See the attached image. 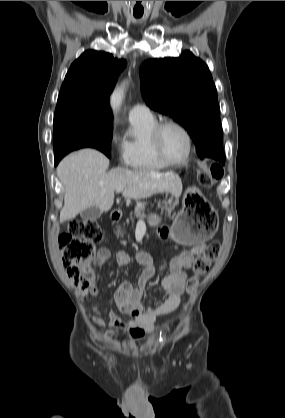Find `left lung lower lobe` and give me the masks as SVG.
<instances>
[{
  "mask_svg": "<svg viewBox=\"0 0 285 418\" xmlns=\"http://www.w3.org/2000/svg\"><path fill=\"white\" fill-rule=\"evenodd\" d=\"M223 154H224V152H223V151L218 152V153H213V154L211 155V158H213V159H215V160H218V159H220V157H221Z\"/></svg>",
  "mask_w": 285,
  "mask_h": 418,
  "instance_id": "left-lung-lower-lobe-1",
  "label": "left lung lower lobe"
}]
</instances>
